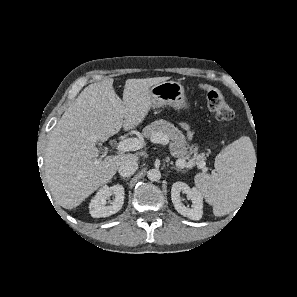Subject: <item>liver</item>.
<instances>
[{"instance_id": "liver-1", "label": "liver", "mask_w": 297, "mask_h": 297, "mask_svg": "<svg viewBox=\"0 0 297 297\" xmlns=\"http://www.w3.org/2000/svg\"><path fill=\"white\" fill-rule=\"evenodd\" d=\"M167 77L126 80L123 101L113 90V79L87 86L52 130L45 153V173L54 200L65 209L79 206L115 175L127 159L120 154L97 159L98 142L121 129L139 125L151 109L150 87Z\"/></svg>"}]
</instances>
